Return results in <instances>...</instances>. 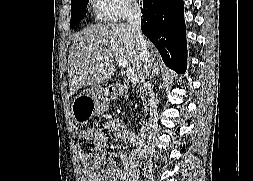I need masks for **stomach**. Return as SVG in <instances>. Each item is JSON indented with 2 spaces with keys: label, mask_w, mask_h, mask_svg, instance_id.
<instances>
[{
  "label": "stomach",
  "mask_w": 253,
  "mask_h": 181,
  "mask_svg": "<svg viewBox=\"0 0 253 181\" xmlns=\"http://www.w3.org/2000/svg\"><path fill=\"white\" fill-rule=\"evenodd\" d=\"M83 97H87L84 100ZM109 98L101 86H94L79 94L73 101L72 112L77 122L89 119L106 112Z\"/></svg>",
  "instance_id": "0dacf381"
}]
</instances>
